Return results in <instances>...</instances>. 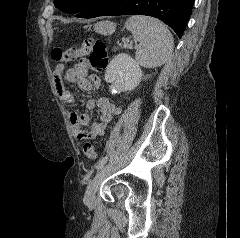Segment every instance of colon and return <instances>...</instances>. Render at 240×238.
Returning <instances> with one entry per match:
<instances>
[{"mask_svg": "<svg viewBox=\"0 0 240 238\" xmlns=\"http://www.w3.org/2000/svg\"><path fill=\"white\" fill-rule=\"evenodd\" d=\"M84 56L89 57L92 69L97 72L103 71L107 66V48L105 43L98 39H85L80 47L69 48L65 51L54 48L51 52V57L56 62H70ZM83 153L89 159L97 157L94 146L89 142L83 145Z\"/></svg>", "mask_w": 240, "mask_h": 238, "instance_id": "obj_1", "label": "colon"}]
</instances>
